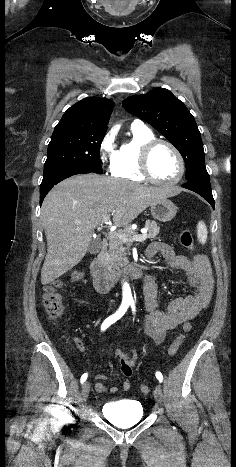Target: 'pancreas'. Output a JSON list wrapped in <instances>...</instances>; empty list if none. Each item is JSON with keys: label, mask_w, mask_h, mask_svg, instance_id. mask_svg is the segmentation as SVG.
<instances>
[{"label": "pancreas", "mask_w": 236, "mask_h": 467, "mask_svg": "<svg viewBox=\"0 0 236 467\" xmlns=\"http://www.w3.org/2000/svg\"><path fill=\"white\" fill-rule=\"evenodd\" d=\"M146 227L148 228L147 238L154 239L159 234V226L155 221L147 220ZM119 233L131 236L135 235L136 231L127 227ZM129 245L130 242H125L114 234L109 236L108 250L104 252V266L110 273L115 274V270L127 265L126 250Z\"/></svg>", "instance_id": "1"}]
</instances>
